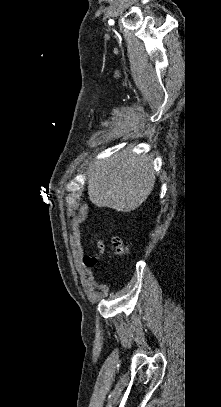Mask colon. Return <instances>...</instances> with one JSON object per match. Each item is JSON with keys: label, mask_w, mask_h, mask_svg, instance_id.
<instances>
[{"label": "colon", "mask_w": 221, "mask_h": 407, "mask_svg": "<svg viewBox=\"0 0 221 407\" xmlns=\"http://www.w3.org/2000/svg\"><path fill=\"white\" fill-rule=\"evenodd\" d=\"M113 243L117 254L124 255L127 253V246L121 239L115 238Z\"/></svg>", "instance_id": "5ec220e1"}]
</instances>
